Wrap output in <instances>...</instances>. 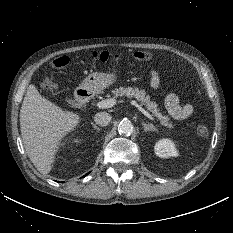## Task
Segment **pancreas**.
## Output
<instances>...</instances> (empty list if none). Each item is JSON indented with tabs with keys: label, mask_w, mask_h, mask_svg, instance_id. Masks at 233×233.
Masks as SVG:
<instances>
[{
	"label": "pancreas",
	"mask_w": 233,
	"mask_h": 233,
	"mask_svg": "<svg viewBox=\"0 0 233 233\" xmlns=\"http://www.w3.org/2000/svg\"><path fill=\"white\" fill-rule=\"evenodd\" d=\"M113 94L115 97H134L137 101L141 102L142 105L146 106L147 109L161 121V124L163 126L168 127L171 129L173 127L172 122H170V118L168 116H163L159 109L157 108V104L155 102H152L150 100V96L146 95L144 90H139L138 88H132V87H120L118 89H115L113 91Z\"/></svg>",
	"instance_id": "obj_1"
}]
</instances>
